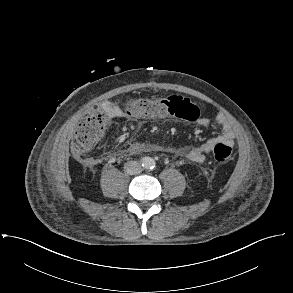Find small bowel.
<instances>
[{
  "instance_id": "1",
  "label": "small bowel",
  "mask_w": 293,
  "mask_h": 293,
  "mask_svg": "<svg viewBox=\"0 0 293 293\" xmlns=\"http://www.w3.org/2000/svg\"><path fill=\"white\" fill-rule=\"evenodd\" d=\"M102 109L112 118L114 119H122L125 118L126 114L121 107L112 103H105L102 105ZM222 126L221 134L216 137L209 139L204 144L199 147L193 148L184 153V155L193 162H203L206 159L208 153H210L214 145L217 142H225L226 144L233 146L235 143V133L232 126L224 121H219ZM197 125L200 128H209L211 126V121L206 117H200L197 120ZM87 164L93 165L96 164V159L89 158L86 160Z\"/></svg>"
}]
</instances>
